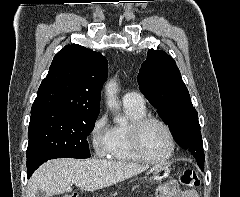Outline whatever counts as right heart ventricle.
Listing matches in <instances>:
<instances>
[{"label":"right heart ventricle","instance_id":"right-heart-ventricle-1","mask_svg":"<svg viewBox=\"0 0 240 197\" xmlns=\"http://www.w3.org/2000/svg\"><path fill=\"white\" fill-rule=\"evenodd\" d=\"M130 119L128 125H115L111 128V140L107 157L111 160L140 163L142 160L134 152L129 138V127L132 122L146 116V109L124 106Z\"/></svg>","mask_w":240,"mask_h":197}]
</instances>
